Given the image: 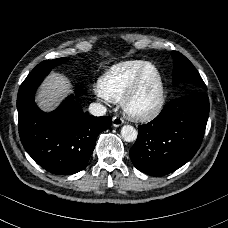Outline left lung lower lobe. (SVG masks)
Returning a JSON list of instances; mask_svg holds the SVG:
<instances>
[{
  "label": "left lung lower lobe",
  "instance_id": "left-lung-lower-lobe-1",
  "mask_svg": "<svg viewBox=\"0 0 228 228\" xmlns=\"http://www.w3.org/2000/svg\"><path fill=\"white\" fill-rule=\"evenodd\" d=\"M208 115L205 91L168 102L153 121L138 127L137 140L129 152L133 165L151 176L177 170L198 151Z\"/></svg>",
  "mask_w": 228,
  "mask_h": 228
}]
</instances>
